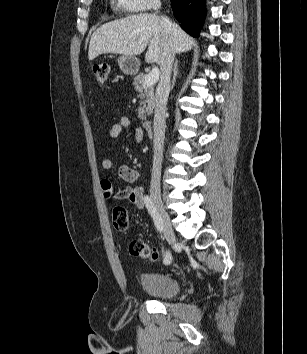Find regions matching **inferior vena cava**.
<instances>
[{
    "label": "inferior vena cava",
    "mask_w": 307,
    "mask_h": 354,
    "mask_svg": "<svg viewBox=\"0 0 307 354\" xmlns=\"http://www.w3.org/2000/svg\"><path fill=\"white\" fill-rule=\"evenodd\" d=\"M160 5H155L157 10ZM163 26L164 45L160 60V81L155 94V112H154V140H153V165L151 174L150 190L155 193H160V174L161 163L163 156V145L165 137V112L167 100L170 92V77L172 65L174 61V49L170 38V21L161 18Z\"/></svg>",
    "instance_id": "obj_1"
}]
</instances>
